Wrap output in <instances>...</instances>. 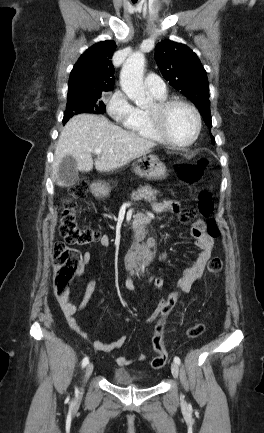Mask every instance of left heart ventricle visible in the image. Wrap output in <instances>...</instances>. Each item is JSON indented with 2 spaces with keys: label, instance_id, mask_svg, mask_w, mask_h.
<instances>
[{
  "label": "left heart ventricle",
  "instance_id": "1",
  "mask_svg": "<svg viewBox=\"0 0 264 433\" xmlns=\"http://www.w3.org/2000/svg\"><path fill=\"white\" fill-rule=\"evenodd\" d=\"M196 122L192 112L184 106L173 107L167 115V131L177 142H186L194 134Z\"/></svg>",
  "mask_w": 264,
  "mask_h": 433
}]
</instances>
